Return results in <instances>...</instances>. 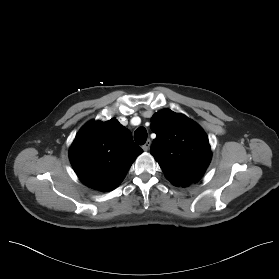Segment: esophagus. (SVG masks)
<instances>
[{
    "label": "esophagus",
    "mask_w": 279,
    "mask_h": 279,
    "mask_svg": "<svg viewBox=\"0 0 279 279\" xmlns=\"http://www.w3.org/2000/svg\"><path fill=\"white\" fill-rule=\"evenodd\" d=\"M150 145H151V141H150V140H147L146 143L142 146V149H143L144 151H148Z\"/></svg>",
    "instance_id": "34e87169"
}]
</instances>
